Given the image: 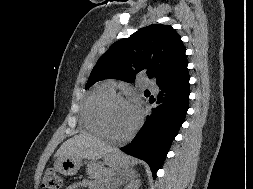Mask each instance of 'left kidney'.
I'll return each mask as SVG.
<instances>
[{
    "label": "left kidney",
    "mask_w": 253,
    "mask_h": 189,
    "mask_svg": "<svg viewBox=\"0 0 253 189\" xmlns=\"http://www.w3.org/2000/svg\"><path fill=\"white\" fill-rule=\"evenodd\" d=\"M140 186V180L133 181L128 188L129 189H138Z\"/></svg>",
    "instance_id": "5707ae66"
}]
</instances>
